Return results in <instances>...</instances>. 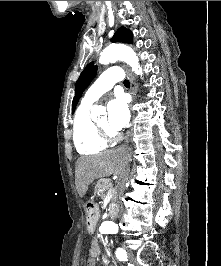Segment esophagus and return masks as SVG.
I'll list each match as a JSON object with an SVG mask.
<instances>
[{
    "label": "esophagus",
    "instance_id": "obj_1",
    "mask_svg": "<svg viewBox=\"0 0 221 266\" xmlns=\"http://www.w3.org/2000/svg\"><path fill=\"white\" fill-rule=\"evenodd\" d=\"M125 71H126L128 79L130 81V94L132 96V103H134L136 101V86H135V82H134V77L127 68H125ZM131 132H132V130L128 132L126 140L129 139Z\"/></svg>",
    "mask_w": 221,
    "mask_h": 266
}]
</instances>
